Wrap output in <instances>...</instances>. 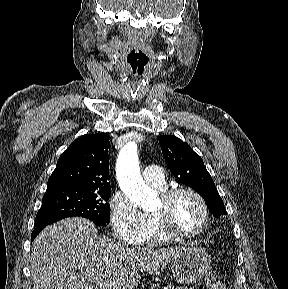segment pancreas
Returning a JSON list of instances; mask_svg holds the SVG:
<instances>
[{
    "label": "pancreas",
    "mask_w": 288,
    "mask_h": 289,
    "mask_svg": "<svg viewBox=\"0 0 288 289\" xmlns=\"http://www.w3.org/2000/svg\"><path fill=\"white\" fill-rule=\"evenodd\" d=\"M167 289H188L187 287H179V286H174V285H168ZM193 289V288H190Z\"/></svg>",
    "instance_id": "cf45deb5"
}]
</instances>
